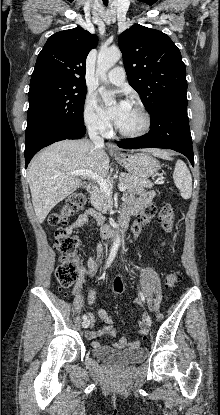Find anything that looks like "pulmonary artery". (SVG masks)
I'll return each mask as SVG.
<instances>
[{
  "label": "pulmonary artery",
  "instance_id": "obj_1",
  "mask_svg": "<svg viewBox=\"0 0 220 415\" xmlns=\"http://www.w3.org/2000/svg\"><path fill=\"white\" fill-rule=\"evenodd\" d=\"M107 79L114 85H122L125 81V73L122 67L113 68L107 75Z\"/></svg>",
  "mask_w": 220,
  "mask_h": 415
}]
</instances>
